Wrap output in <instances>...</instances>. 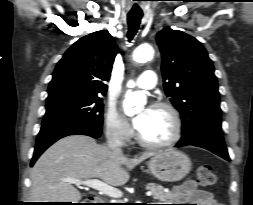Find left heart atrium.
Instances as JSON below:
<instances>
[{
  "instance_id": "left-heart-atrium-1",
  "label": "left heart atrium",
  "mask_w": 253,
  "mask_h": 205,
  "mask_svg": "<svg viewBox=\"0 0 253 205\" xmlns=\"http://www.w3.org/2000/svg\"><path fill=\"white\" fill-rule=\"evenodd\" d=\"M150 111H151L150 108H146L142 112H140L136 117L133 118V125L135 129L139 131L143 127L149 116Z\"/></svg>"
}]
</instances>
